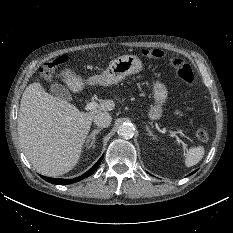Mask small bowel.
<instances>
[{"instance_id": "small-bowel-1", "label": "small bowel", "mask_w": 233, "mask_h": 233, "mask_svg": "<svg viewBox=\"0 0 233 233\" xmlns=\"http://www.w3.org/2000/svg\"><path fill=\"white\" fill-rule=\"evenodd\" d=\"M176 114L177 115H182V112L178 110V111H176Z\"/></svg>"}]
</instances>
